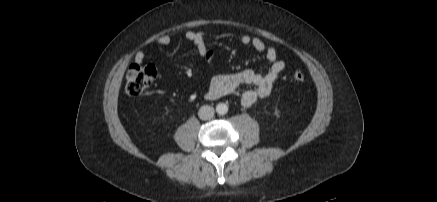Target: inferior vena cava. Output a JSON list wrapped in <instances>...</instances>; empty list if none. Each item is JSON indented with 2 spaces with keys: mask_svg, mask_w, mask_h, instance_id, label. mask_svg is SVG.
<instances>
[{
  "mask_svg": "<svg viewBox=\"0 0 437 202\" xmlns=\"http://www.w3.org/2000/svg\"><path fill=\"white\" fill-rule=\"evenodd\" d=\"M198 116L202 120H210L214 116V108L208 105H204L199 109Z\"/></svg>",
  "mask_w": 437,
  "mask_h": 202,
  "instance_id": "obj_1",
  "label": "inferior vena cava"
}]
</instances>
